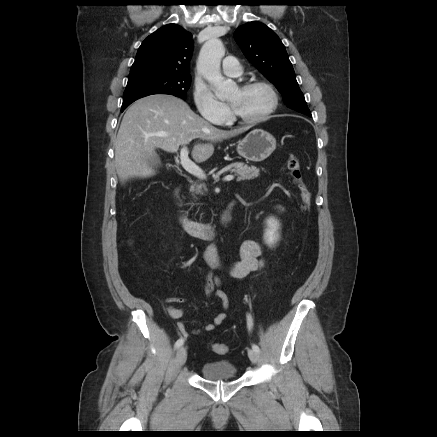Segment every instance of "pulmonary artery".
<instances>
[{
  "label": "pulmonary artery",
  "instance_id": "1",
  "mask_svg": "<svg viewBox=\"0 0 437 437\" xmlns=\"http://www.w3.org/2000/svg\"><path fill=\"white\" fill-rule=\"evenodd\" d=\"M222 71L227 76L236 77L241 74L242 69L234 56H227L222 62Z\"/></svg>",
  "mask_w": 437,
  "mask_h": 437
}]
</instances>
